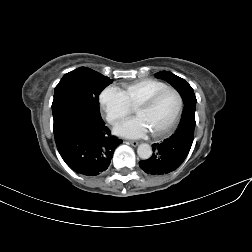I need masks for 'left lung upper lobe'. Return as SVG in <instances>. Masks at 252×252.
I'll list each match as a JSON object with an SVG mask.
<instances>
[{"instance_id":"left-lung-upper-lobe-1","label":"left lung upper lobe","mask_w":252,"mask_h":252,"mask_svg":"<svg viewBox=\"0 0 252 252\" xmlns=\"http://www.w3.org/2000/svg\"><path fill=\"white\" fill-rule=\"evenodd\" d=\"M156 77L166 80L170 83L181 95L183 101L185 102L189 97H195L192 87L182 78L174 75L168 71H161L156 73ZM185 105V103H184ZM185 110V108H184ZM184 113V111H183ZM182 113V114H183ZM195 115V113H193Z\"/></svg>"}]
</instances>
